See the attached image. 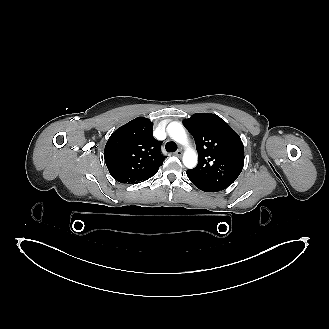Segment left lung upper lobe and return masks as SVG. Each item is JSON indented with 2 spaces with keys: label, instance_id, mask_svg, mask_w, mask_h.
<instances>
[{
  "label": "left lung upper lobe",
  "instance_id": "obj_1",
  "mask_svg": "<svg viewBox=\"0 0 329 329\" xmlns=\"http://www.w3.org/2000/svg\"><path fill=\"white\" fill-rule=\"evenodd\" d=\"M193 135L199 162L187 172L199 182L224 190L239 176L244 165V146L239 135L215 114H193L183 121Z\"/></svg>",
  "mask_w": 329,
  "mask_h": 329
}]
</instances>
